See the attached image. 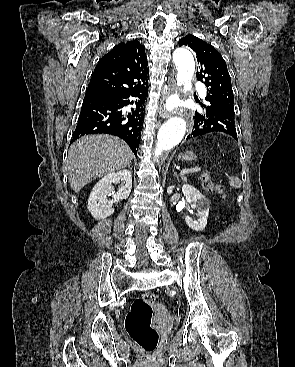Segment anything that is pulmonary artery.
Here are the masks:
<instances>
[{
    "label": "pulmonary artery",
    "instance_id": "obj_1",
    "mask_svg": "<svg viewBox=\"0 0 295 367\" xmlns=\"http://www.w3.org/2000/svg\"><path fill=\"white\" fill-rule=\"evenodd\" d=\"M196 87L199 89L201 95L203 97H205L206 96V91H205L204 86L202 84H200V83H196Z\"/></svg>",
    "mask_w": 295,
    "mask_h": 367
}]
</instances>
